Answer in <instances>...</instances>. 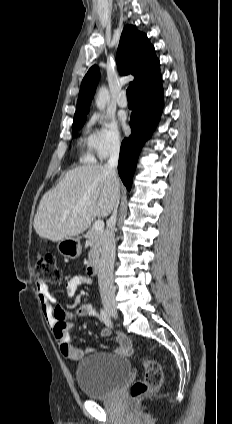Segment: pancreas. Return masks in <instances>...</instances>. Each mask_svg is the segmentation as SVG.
Listing matches in <instances>:
<instances>
[{
    "instance_id": "cf45deb5",
    "label": "pancreas",
    "mask_w": 232,
    "mask_h": 424,
    "mask_svg": "<svg viewBox=\"0 0 232 424\" xmlns=\"http://www.w3.org/2000/svg\"><path fill=\"white\" fill-rule=\"evenodd\" d=\"M90 243V251L88 253L89 263H93L99 257V252L103 240V231L96 230L93 226L88 230L85 236Z\"/></svg>"
}]
</instances>
